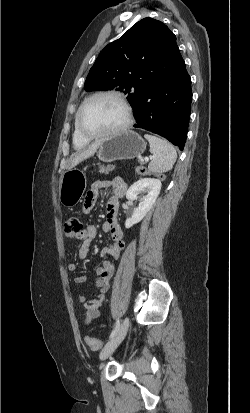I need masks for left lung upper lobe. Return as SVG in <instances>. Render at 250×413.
<instances>
[{
  "label": "left lung upper lobe",
  "instance_id": "left-lung-upper-lobe-1",
  "mask_svg": "<svg viewBox=\"0 0 250 413\" xmlns=\"http://www.w3.org/2000/svg\"><path fill=\"white\" fill-rule=\"evenodd\" d=\"M175 35L162 22L144 18L97 57L85 81L86 91L116 89L133 106L141 87L164 68Z\"/></svg>",
  "mask_w": 250,
  "mask_h": 413
}]
</instances>
